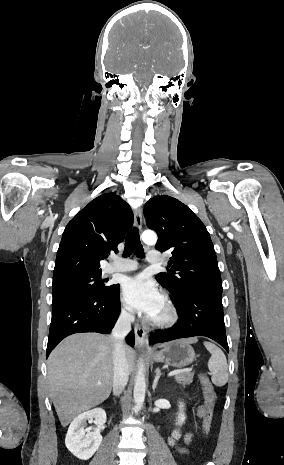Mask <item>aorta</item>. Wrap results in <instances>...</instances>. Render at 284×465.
<instances>
[{"mask_svg": "<svg viewBox=\"0 0 284 465\" xmlns=\"http://www.w3.org/2000/svg\"><path fill=\"white\" fill-rule=\"evenodd\" d=\"M142 240L144 243L154 245L157 242V235L151 230H146L142 233ZM146 382H145V370L142 363L139 364L138 372L135 377L134 383V412L137 414L143 406L145 398Z\"/></svg>", "mask_w": 284, "mask_h": 465, "instance_id": "1", "label": "aorta"}]
</instances>
